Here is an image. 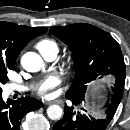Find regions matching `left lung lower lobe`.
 I'll use <instances>...</instances> for the list:
<instances>
[{
  "label": "left lung lower lobe",
  "mask_w": 130,
  "mask_h": 130,
  "mask_svg": "<svg viewBox=\"0 0 130 130\" xmlns=\"http://www.w3.org/2000/svg\"><path fill=\"white\" fill-rule=\"evenodd\" d=\"M70 99L75 105L81 104L84 99ZM119 103L111 101L105 110L102 118L96 119L79 111H75L73 107L65 106L64 116L58 121L53 130H105L112 120Z\"/></svg>",
  "instance_id": "left-lung-lower-lobe-1"
}]
</instances>
